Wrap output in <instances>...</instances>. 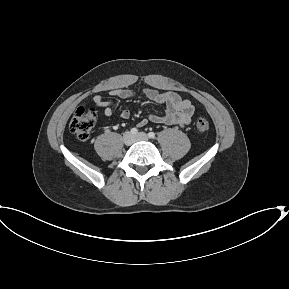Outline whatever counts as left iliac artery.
I'll return each instance as SVG.
<instances>
[{"instance_id": "left-iliac-artery-1", "label": "left iliac artery", "mask_w": 289, "mask_h": 289, "mask_svg": "<svg viewBox=\"0 0 289 289\" xmlns=\"http://www.w3.org/2000/svg\"><path fill=\"white\" fill-rule=\"evenodd\" d=\"M148 136H149V138L154 139L155 138V133L154 132H149Z\"/></svg>"}]
</instances>
